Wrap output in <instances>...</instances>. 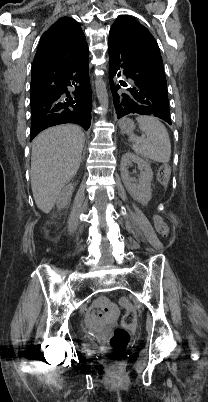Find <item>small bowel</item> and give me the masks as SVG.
Here are the masks:
<instances>
[{
	"instance_id": "small-bowel-1",
	"label": "small bowel",
	"mask_w": 208,
	"mask_h": 402,
	"mask_svg": "<svg viewBox=\"0 0 208 402\" xmlns=\"http://www.w3.org/2000/svg\"><path fill=\"white\" fill-rule=\"evenodd\" d=\"M103 300H107V303H102ZM95 308L100 310L99 313V321L96 315H92V312H89L88 321L85 324L87 330H106L109 327V324L113 323L115 310L114 306L108 299L105 298V295H101V299H99L95 303Z\"/></svg>"
}]
</instances>
